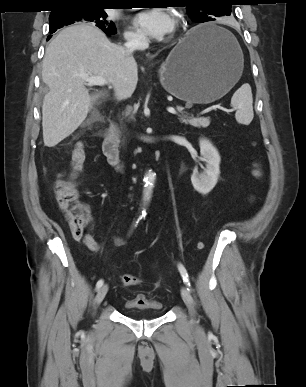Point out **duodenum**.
I'll use <instances>...</instances> for the list:
<instances>
[{"label":"duodenum","mask_w":306,"mask_h":387,"mask_svg":"<svg viewBox=\"0 0 306 387\" xmlns=\"http://www.w3.org/2000/svg\"><path fill=\"white\" fill-rule=\"evenodd\" d=\"M119 130L116 123H111L107 129L103 141V153L106 156L110 165L122 169L123 165L120 159V151L118 145Z\"/></svg>","instance_id":"obj_1"}]
</instances>
